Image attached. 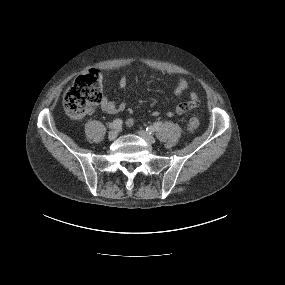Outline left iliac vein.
Returning a JSON list of instances; mask_svg holds the SVG:
<instances>
[{
	"mask_svg": "<svg viewBox=\"0 0 285 285\" xmlns=\"http://www.w3.org/2000/svg\"><path fill=\"white\" fill-rule=\"evenodd\" d=\"M138 135L149 143H153L155 141L154 136L149 134L146 131L140 130V131H138Z\"/></svg>",
	"mask_w": 285,
	"mask_h": 285,
	"instance_id": "4c4485c4",
	"label": "left iliac vein"
}]
</instances>
